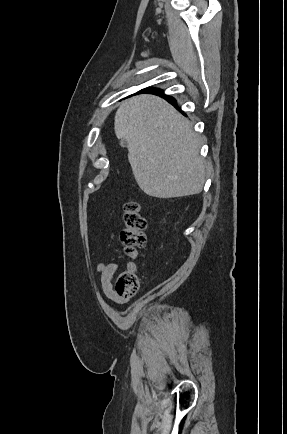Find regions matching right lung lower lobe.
Instances as JSON below:
<instances>
[{"label":"right lung lower lobe","instance_id":"right-lung-lower-lobe-1","mask_svg":"<svg viewBox=\"0 0 287 434\" xmlns=\"http://www.w3.org/2000/svg\"><path fill=\"white\" fill-rule=\"evenodd\" d=\"M153 94L160 95V96H164L162 90L157 91V92H153ZM165 99H166L168 102H170L172 105H174L175 107H177V103H176V100H175L174 98L169 97V96H165Z\"/></svg>","mask_w":287,"mask_h":434}]
</instances>
